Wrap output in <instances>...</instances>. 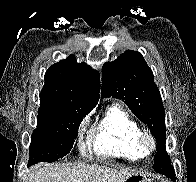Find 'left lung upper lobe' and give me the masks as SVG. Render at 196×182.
Segmentation results:
<instances>
[{
  "label": "left lung upper lobe",
  "mask_w": 196,
  "mask_h": 182,
  "mask_svg": "<svg viewBox=\"0 0 196 182\" xmlns=\"http://www.w3.org/2000/svg\"><path fill=\"white\" fill-rule=\"evenodd\" d=\"M101 95L104 98L122 99L135 116L148 126L157 141L154 170L175 180L171 161H160L163 155H167L165 111L161 95L154 83L153 72L139 52L128 50L113 62L103 65Z\"/></svg>",
  "instance_id": "obj_1"
}]
</instances>
